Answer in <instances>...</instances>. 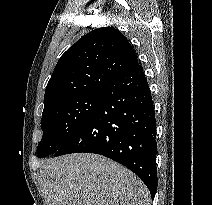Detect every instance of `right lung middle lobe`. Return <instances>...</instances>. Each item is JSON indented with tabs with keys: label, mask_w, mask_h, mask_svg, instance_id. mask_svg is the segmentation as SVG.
Wrapping results in <instances>:
<instances>
[{
	"label": "right lung middle lobe",
	"mask_w": 212,
	"mask_h": 205,
	"mask_svg": "<svg viewBox=\"0 0 212 205\" xmlns=\"http://www.w3.org/2000/svg\"><path fill=\"white\" fill-rule=\"evenodd\" d=\"M101 100V92L84 94L64 101L42 114L43 136L37 156L56 153L86 121Z\"/></svg>",
	"instance_id": "dd1d6c3e"
}]
</instances>
